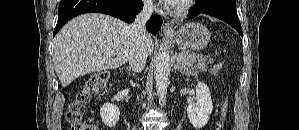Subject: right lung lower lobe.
Masks as SVG:
<instances>
[{
  "mask_svg": "<svg viewBox=\"0 0 299 130\" xmlns=\"http://www.w3.org/2000/svg\"><path fill=\"white\" fill-rule=\"evenodd\" d=\"M141 0H61L58 8V21L53 36L70 19L80 14L98 12L112 15L125 22L132 23L135 15L142 10ZM162 25L160 16H152L146 24L147 29L157 33Z\"/></svg>",
  "mask_w": 299,
  "mask_h": 130,
  "instance_id": "98d812e1",
  "label": "right lung lower lobe"
}]
</instances>
